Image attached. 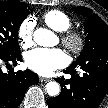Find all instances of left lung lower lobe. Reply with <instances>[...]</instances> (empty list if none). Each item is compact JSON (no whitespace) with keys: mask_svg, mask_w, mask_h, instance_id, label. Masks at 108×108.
<instances>
[{"mask_svg":"<svg viewBox=\"0 0 108 108\" xmlns=\"http://www.w3.org/2000/svg\"><path fill=\"white\" fill-rule=\"evenodd\" d=\"M76 67L84 71L83 75L77 74ZM64 72L71 78L56 79L62 90L57 97L47 100L48 108H97L108 91V64L70 65ZM69 90L77 91L76 99H67Z\"/></svg>","mask_w":108,"mask_h":108,"instance_id":"1","label":"left lung lower lobe"}]
</instances>
